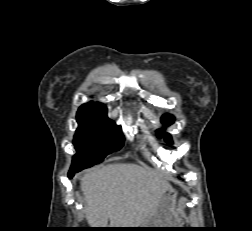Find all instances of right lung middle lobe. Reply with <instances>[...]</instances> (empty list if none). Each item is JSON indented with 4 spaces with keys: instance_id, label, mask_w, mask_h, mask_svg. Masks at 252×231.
Listing matches in <instances>:
<instances>
[{
    "instance_id": "dd1d6c3e",
    "label": "right lung middle lobe",
    "mask_w": 252,
    "mask_h": 231,
    "mask_svg": "<svg viewBox=\"0 0 252 231\" xmlns=\"http://www.w3.org/2000/svg\"><path fill=\"white\" fill-rule=\"evenodd\" d=\"M77 122L79 127L73 141L77 154L73 157L72 170L98 164L124 144L121 127L106 114H77Z\"/></svg>"
}]
</instances>
